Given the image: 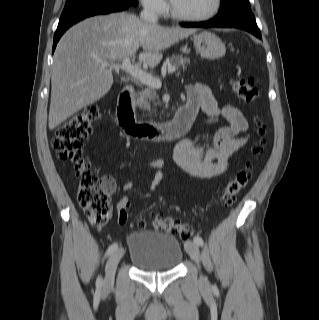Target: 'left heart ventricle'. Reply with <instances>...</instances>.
Segmentation results:
<instances>
[{
    "label": "left heart ventricle",
    "instance_id": "b2bd125f",
    "mask_svg": "<svg viewBox=\"0 0 319 320\" xmlns=\"http://www.w3.org/2000/svg\"><path fill=\"white\" fill-rule=\"evenodd\" d=\"M214 5V0H175V10L183 15L196 16L208 13Z\"/></svg>",
    "mask_w": 319,
    "mask_h": 320
}]
</instances>
